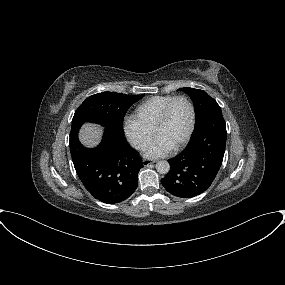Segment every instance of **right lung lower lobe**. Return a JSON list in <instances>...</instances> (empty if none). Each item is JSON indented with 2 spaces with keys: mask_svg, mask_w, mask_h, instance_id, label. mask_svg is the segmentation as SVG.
Returning <instances> with one entry per match:
<instances>
[{
  "mask_svg": "<svg viewBox=\"0 0 285 285\" xmlns=\"http://www.w3.org/2000/svg\"><path fill=\"white\" fill-rule=\"evenodd\" d=\"M80 126H72L70 152L78 177L96 199L119 203L136 190L142 159L124 136L106 130L102 142L86 148L78 140Z\"/></svg>",
  "mask_w": 285,
  "mask_h": 285,
  "instance_id": "right-lung-lower-lobe-1",
  "label": "right lung lower lobe"
}]
</instances>
